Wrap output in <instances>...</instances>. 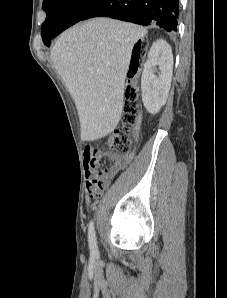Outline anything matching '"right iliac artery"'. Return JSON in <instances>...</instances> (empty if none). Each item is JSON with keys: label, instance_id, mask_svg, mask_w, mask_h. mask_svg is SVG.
Instances as JSON below:
<instances>
[{"label": "right iliac artery", "instance_id": "obj_1", "mask_svg": "<svg viewBox=\"0 0 227 298\" xmlns=\"http://www.w3.org/2000/svg\"><path fill=\"white\" fill-rule=\"evenodd\" d=\"M88 240H89V247L92 255H97V242H96V234L94 229L93 221L90 222L88 228Z\"/></svg>", "mask_w": 227, "mask_h": 298}]
</instances>
